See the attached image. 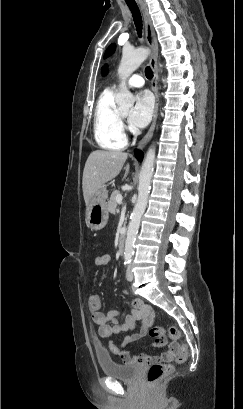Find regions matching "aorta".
<instances>
[{"instance_id": "1", "label": "aorta", "mask_w": 243, "mask_h": 409, "mask_svg": "<svg viewBox=\"0 0 243 409\" xmlns=\"http://www.w3.org/2000/svg\"><path fill=\"white\" fill-rule=\"evenodd\" d=\"M149 54L150 50L148 48H138L133 51H123L122 59L118 67V75L121 80L120 89L115 98L116 104L119 107L130 108L134 105L135 98L129 91L126 80L143 63V61L149 56ZM154 161L155 148L150 147L142 163L139 175L138 198L131 214L125 242V259H131L134 254V244L136 236L140 226L141 217L147 206L151 189V179L154 172Z\"/></svg>"}]
</instances>
